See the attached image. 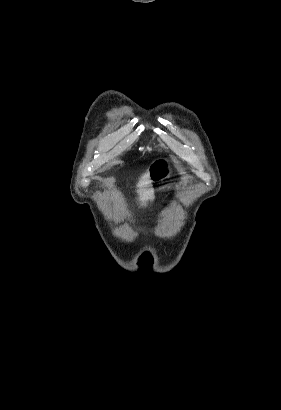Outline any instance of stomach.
I'll return each instance as SVG.
<instances>
[{"label":"stomach","instance_id":"1","mask_svg":"<svg viewBox=\"0 0 281 410\" xmlns=\"http://www.w3.org/2000/svg\"><path fill=\"white\" fill-rule=\"evenodd\" d=\"M148 173L151 183H158L171 176L173 167L167 159H157L151 163Z\"/></svg>","mask_w":281,"mask_h":410}]
</instances>
